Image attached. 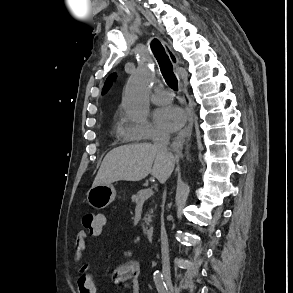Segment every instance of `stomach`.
Instances as JSON below:
<instances>
[{
	"label": "stomach",
	"instance_id": "obj_1",
	"mask_svg": "<svg viewBox=\"0 0 293 293\" xmlns=\"http://www.w3.org/2000/svg\"><path fill=\"white\" fill-rule=\"evenodd\" d=\"M116 190L113 185H97L87 193L88 203L95 209H103L114 201Z\"/></svg>",
	"mask_w": 293,
	"mask_h": 293
}]
</instances>
